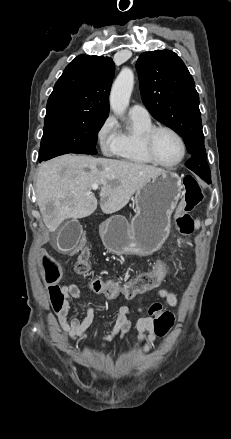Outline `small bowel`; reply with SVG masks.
<instances>
[{
	"mask_svg": "<svg viewBox=\"0 0 231 439\" xmlns=\"http://www.w3.org/2000/svg\"><path fill=\"white\" fill-rule=\"evenodd\" d=\"M162 288L164 291H158L157 294L163 298L169 306L176 307L178 304L176 295L168 291L165 285ZM61 292L64 295V307L61 313H56L59 324L68 339L79 343L87 337L86 331L93 322L95 310L91 304L84 300L77 285H64L61 287ZM143 296L144 295H137L139 301L142 300ZM74 299L83 302L85 307V317L82 320L73 318L68 322L67 315L70 310L71 302ZM161 308L162 307L160 304H153L149 309V315L139 318L136 323V329L138 332L136 345L141 346L145 352L150 351L155 346L153 320L155 315L161 311ZM137 311L142 312V308L138 307ZM131 327L132 310L128 306H121L111 332L107 335H103L100 338L102 346L104 348H114L118 343H120L124 335L130 331Z\"/></svg>",
	"mask_w": 231,
	"mask_h": 439,
	"instance_id": "obj_1",
	"label": "small bowel"
}]
</instances>
